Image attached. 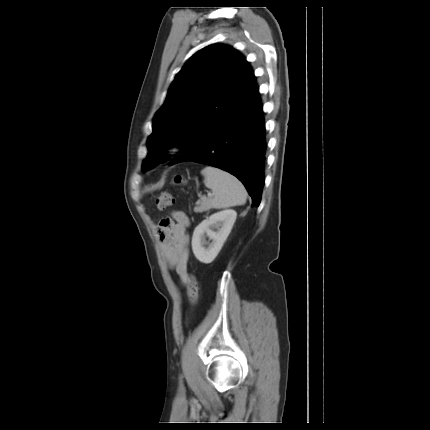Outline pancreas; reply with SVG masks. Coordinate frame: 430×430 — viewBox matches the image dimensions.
<instances>
[{
	"instance_id": "1",
	"label": "pancreas",
	"mask_w": 430,
	"mask_h": 430,
	"mask_svg": "<svg viewBox=\"0 0 430 430\" xmlns=\"http://www.w3.org/2000/svg\"><path fill=\"white\" fill-rule=\"evenodd\" d=\"M212 208L211 200L208 198H201L196 202V206L194 207L195 213H203Z\"/></svg>"
}]
</instances>
